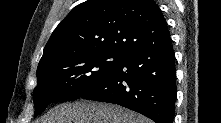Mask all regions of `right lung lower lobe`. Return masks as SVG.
I'll list each match as a JSON object with an SVG mask.
<instances>
[{"mask_svg": "<svg viewBox=\"0 0 221 123\" xmlns=\"http://www.w3.org/2000/svg\"><path fill=\"white\" fill-rule=\"evenodd\" d=\"M176 69L171 38L126 54L109 77L82 98L121 105L156 123H173Z\"/></svg>", "mask_w": 221, "mask_h": 123, "instance_id": "obj_1", "label": "right lung lower lobe"}]
</instances>
